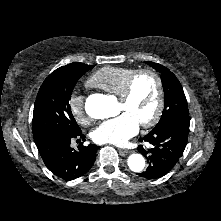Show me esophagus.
<instances>
[{
  "label": "esophagus",
  "instance_id": "1",
  "mask_svg": "<svg viewBox=\"0 0 221 221\" xmlns=\"http://www.w3.org/2000/svg\"><path fill=\"white\" fill-rule=\"evenodd\" d=\"M118 150L120 152H123V153H131V152H133V150H131V149H124V148H119Z\"/></svg>",
  "mask_w": 221,
  "mask_h": 221
}]
</instances>
